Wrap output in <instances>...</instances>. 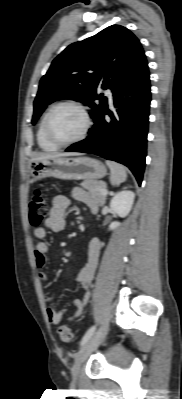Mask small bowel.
I'll return each instance as SVG.
<instances>
[{
  "mask_svg": "<svg viewBox=\"0 0 182 399\" xmlns=\"http://www.w3.org/2000/svg\"><path fill=\"white\" fill-rule=\"evenodd\" d=\"M72 197L75 200L85 204L92 210H97L99 206L97 199L81 188H74L72 190ZM69 204H70L69 198L64 195H57L53 197L51 201L49 216L44 221L43 226L38 227L34 230L35 238L41 240L35 246L34 255H35L36 265L40 269L39 278L42 281L48 280V275L44 271V268L47 264L48 246L42 240L45 239L48 230H51L53 232H61L65 229L66 210L69 207ZM100 249H101L100 241L96 238L92 239L89 243L87 263L79 271L76 277L77 282L85 290V295L82 300L75 299L72 301V305L75 306L77 310L74 313V315L68 318L69 321H72L75 318L79 317L83 313L86 307V304L90 297L91 283L98 265ZM46 312H47L48 321L52 325H58L61 322L64 314L66 313V309L57 310L55 307L50 305L47 307Z\"/></svg>",
  "mask_w": 182,
  "mask_h": 399,
  "instance_id": "obj_1",
  "label": "small bowel"
}]
</instances>
